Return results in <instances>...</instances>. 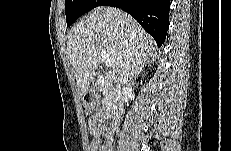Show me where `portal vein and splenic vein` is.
<instances>
[{
  "mask_svg": "<svg viewBox=\"0 0 231 151\" xmlns=\"http://www.w3.org/2000/svg\"><path fill=\"white\" fill-rule=\"evenodd\" d=\"M101 59L105 62L107 67H112L114 61L110 58L109 54L106 51L101 52Z\"/></svg>",
  "mask_w": 231,
  "mask_h": 151,
  "instance_id": "18ae733b",
  "label": "portal vein and splenic vein"
}]
</instances>
